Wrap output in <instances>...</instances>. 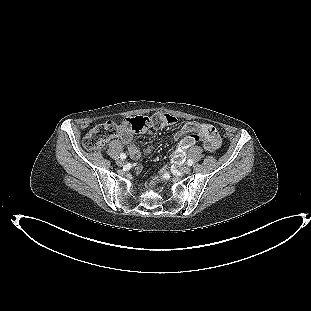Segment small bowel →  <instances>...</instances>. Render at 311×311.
<instances>
[{
  "label": "small bowel",
  "instance_id": "1",
  "mask_svg": "<svg viewBox=\"0 0 311 311\" xmlns=\"http://www.w3.org/2000/svg\"><path fill=\"white\" fill-rule=\"evenodd\" d=\"M195 134H198L205 146V148L209 152L216 151L221 144V139L219 136V133L217 129L209 123H199V122H187L185 123L181 129H179L174 137L176 140H181L183 142L186 140V136H194ZM120 140L128 146V152L132 160H138L141 156L140 149L133 143V135L129 131H123L120 134ZM152 146H148L146 148V152H150L152 150ZM185 148L186 146H180L176 153L175 157L177 159H183L185 154ZM140 168H137V171H139Z\"/></svg>",
  "mask_w": 311,
  "mask_h": 311
}]
</instances>
